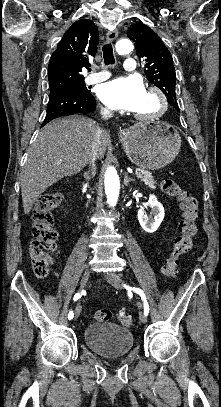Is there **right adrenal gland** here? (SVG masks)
<instances>
[{
	"label": "right adrenal gland",
	"instance_id": "1",
	"mask_svg": "<svg viewBox=\"0 0 221 407\" xmlns=\"http://www.w3.org/2000/svg\"><path fill=\"white\" fill-rule=\"evenodd\" d=\"M96 174V166L95 164H93L92 169H91V175L89 174V172H84V178L89 180L91 177L95 176Z\"/></svg>",
	"mask_w": 221,
	"mask_h": 407
}]
</instances>
